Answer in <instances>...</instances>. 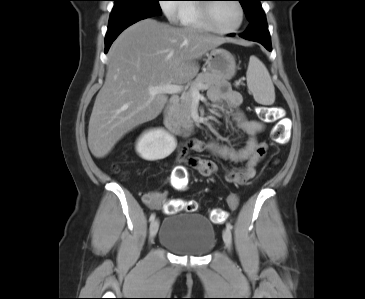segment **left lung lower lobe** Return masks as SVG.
<instances>
[{
    "mask_svg": "<svg viewBox=\"0 0 365 299\" xmlns=\"http://www.w3.org/2000/svg\"><path fill=\"white\" fill-rule=\"evenodd\" d=\"M234 36V34H230ZM241 37L250 41L261 43L267 50L271 51V38L267 27L265 15L250 23L249 28Z\"/></svg>",
    "mask_w": 365,
    "mask_h": 299,
    "instance_id": "1",
    "label": "left lung lower lobe"
}]
</instances>
